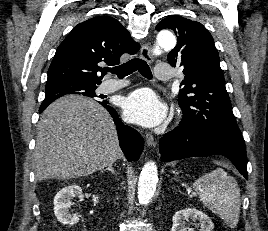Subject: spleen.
Instances as JSON below:
<instances>
[{
	"instance_id": "1",
	"label": "spleen",
	"mask_w": 268,
	"mask_h": 231,
	"mask_svg": "<svg viewBox=\"0 0 268 231\" xmlns=\"http://www.w3.org/2000/svg\"><path fill=\"white\" fill-rule=\"evenodd\" d=\"M203 205L234 228L240 216V190L234 177L222 168L198 178L193 184Z\"/></svg>"
}]
</instances>
